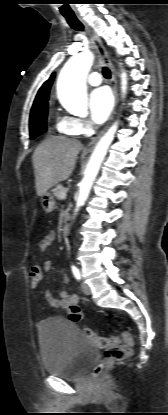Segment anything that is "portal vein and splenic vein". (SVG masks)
<instances>
[{"mask_svg": "<svg viewBox=\"0 0 168 415\" xmlns=\"http://www.w3.org/2000/svg\"><path fill=\"white\" fill-rule=\"evenodd\" d=\"M60 197H61L62 199L66 198V192H65V191H64V192H61Z\"/></svg>", "mask_w": 168, "mask_h": 415, "instance_id": "portal-vein-and-splenic-vein-1", "label": "portal vein and splenic vein"}]
</instances>
